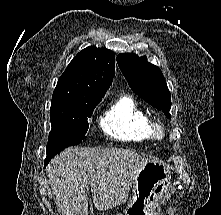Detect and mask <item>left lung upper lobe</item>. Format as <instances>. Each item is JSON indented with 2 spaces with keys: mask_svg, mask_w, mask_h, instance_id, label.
<instances>
[{
  "mask_svg": "<svg viewBox=\"0 0 221 215\" xmlns=\"http://www.w3.org/2000/svg\"><path fill=\"white\" fill-rule=\"evenodd\" d=\"M117 63L133 92L171 118V96L159 67L134 53L119 54Z\"/></svg>",
  "mask_w": 221,
  "mask_h": 215,
  "instance_id": "obj_1",
  "label": "left lung upper lobe"
}]
</instances>
